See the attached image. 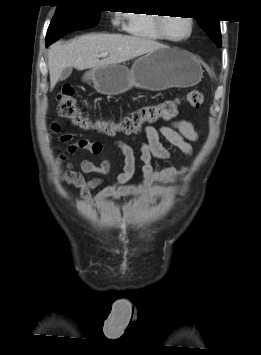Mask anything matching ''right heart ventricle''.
Listing matches in <instances>:
<instances>
[{"instance_id":"1","label":"right heart ventricle","mask_w":261,"mask_h":355,"mask_svg":"<svg viewBox=\"0 0 261 355\" xmlns=\"http://www.w3.org/2000/svg\"><path fill=\"white\" fill-rule=\"evenodd\" d=\"M145 12H129L126 14V29L135 37L163 40L157 28V16Z\"/></svg>"}]
</instances>
